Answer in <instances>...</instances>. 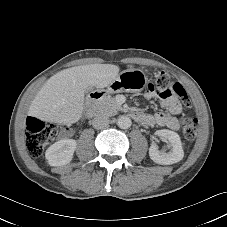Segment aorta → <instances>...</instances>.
I'll list each match as a JSON object with an SVG mask.
<instances>
[{
  "label": "aorta",
  "mask_w": 227,
  "mask_h": 227,
  "mask_svg": "<svg viewBox=\"0 0 227 227\" xmlns=\"http://www.w3.org/2000/svg\"><path fill=\"white\" fill-rule=\"evenodd\" d=\"M117 125L121 129H128L131 125V119L128 116H120L117 120Z\"/></svg>",
  "instance_id": "762f6f07"
}]
</instances>
